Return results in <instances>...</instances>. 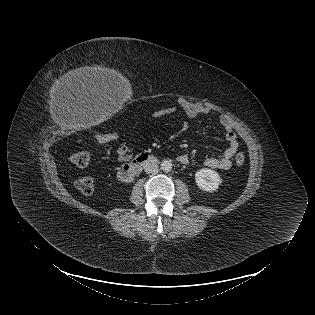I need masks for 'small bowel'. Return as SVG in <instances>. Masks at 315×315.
<instances>
[{"label": "small bowel", "instance_id": "obj_1", "mask_svg": "<svg viewBox=\"0 0 315 315\" xmlns=\"http://www.w3.org/2000/svg\"><path fill=\"white\" fill-rule=\"evenodd\" d=\"M178 106L187 114L188 117L195 121H201L205 117L209 116L212 110L209 107L201 106L196 103H192L186 99H180ZM177 107L171 106L163 109H159L152 114L154 119H160L162 117L175 113ZM219 123L225 131V139L227 141V148L224 153L219 157H208L205 159L204 164L208 168L228 170L231 168L232 159L236 155L238 150L237 135L234 132L233 124L230 117L226 114L219 116ZM116 156L120 162H127L132 157V150L127 144H121L116 151ZM178 161L182 164H187L189 158L187 155L182 154L178 156Z\"/></svg>", "mask_w": 315, "mask_h": 315}]
</instances>
